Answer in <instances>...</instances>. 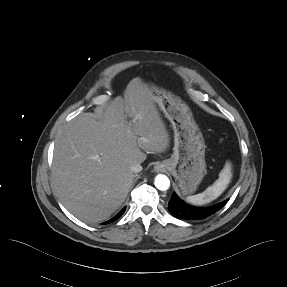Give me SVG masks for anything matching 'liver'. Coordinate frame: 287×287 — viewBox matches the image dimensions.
Returning <instances> with one entry per match:
<instances>
[{
  "label": "liver",
  "mask_w": 287,
  "mask_h": 287,
  "mask_svg": "<svg viewBox=\"0 0 287 287\" xmlns=\"http://www.w3.org/2000/svg\"><path fill=\"white\" fill-rule=\"evenodd\" d=\"M169 142L152 96L144 82L134 78L124 98L97 116L83 113L65 125L55 142L54 189L74 216L102 222L126 199L134 179L131 166L146 159L142 150L161 153Z\"/></svg>",
  "instance_id": "6515ba94"
}]
</instances>
